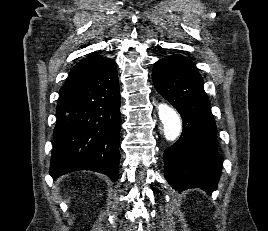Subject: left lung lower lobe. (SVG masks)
Segmentation results:
<instances>
[{
  "mask_svg": "<svg viewBox=\"0 0 268 231\" xmlns=\"http://www.w3.org/2000/svg\"><path fill=\"white\" fill-rule=\"evenodd\" d=\"M152 80L158 93L181 113L183 120L179 140L164 151L166 179L179 192L199 187L211 193L217 189L222 162L202 77L191 64L166 57L154 64Z\"/></svg>",
  "mask_w": 268,
  "mask_h": 231,
  "instance_id": "0a47b994",
  "label": "left lung lower lobe"
}]
</instances>
